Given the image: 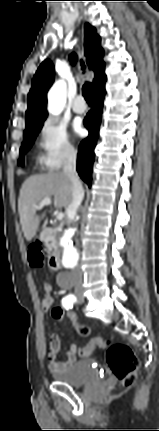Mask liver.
<instances>
[{
  "label": "liver",
  "mask_w": 159,
  "mask_h": 431,
  "mask_svg": "<svg viewBox=\"0 0 159 431\" xmlns=\"http://www.w3.org/2000/svg\"><path fill=\"white\" fill-rule=\"evenodd\" d=\"M52 196L56 208L67 209L72 200V183L64 172L33 175L22 184L18 199V212L24 236L28 241L35 236L41 220L46 215V212H43L41 216H38L36 206L44 198ZM46 224L47 220L43 227Z\"/></svg>",
  "instance_id": "liver-1"
}]
</instances>
